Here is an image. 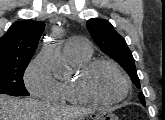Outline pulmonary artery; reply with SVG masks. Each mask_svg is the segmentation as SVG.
Wrapping results in <instances>:
<instances>
[{"label":"pulmonary artery","mask_w":165,"mask_h":120,"mask_svg":"<svg viewBox=\"0 0 165 120\" xmlns=\"http://www.w3.org/2000/svg\"><path fill=\"white\" fill-rule=\"evenodd\" d=\"M64 50L68 54H88L91 53V46L82 37H72L66 42Z\"/></svg>","instance_id":"e3ab8cb5"}]
</instances>
